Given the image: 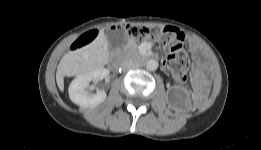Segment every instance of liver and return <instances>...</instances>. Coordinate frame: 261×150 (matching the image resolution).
<instances>
[{"instance_id":"6515ba94","label":"liver","mask_w":261,"mask_h":150,"mask_svg":"<svg viewBox=\"0 0 261 150\" xmlns=\"http://www.w3.org/2000/svg\"><path fill=\"white\" fill-rule=\"evenodd\" d=\"M108 59V41L101 30L90 44L79 50L69 51L61 58L56 72L58 88L63 92L65 76L102 68Z\"/></svg>"}]
</instances>
